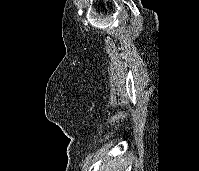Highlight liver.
Masks as SVG:
<instances>
[{"instance_id": "6515ba94", "label": "liver", "mask_w": 199, "mask_h": 171, "mask_svg": "<svg viewBox=\"0 0 199 171\" xmlns=\"http://www.w3.org/2000/svg\"><path fill=\"white\" fill-rule=\"evenodd\" d=\"M122 166V160L111 158L107 159L102 163V166L100 167V171H103L102 169H105V171H119V168Z\"/></svg>"}]
</instances>
